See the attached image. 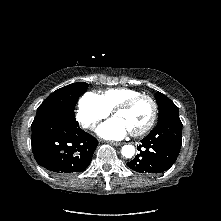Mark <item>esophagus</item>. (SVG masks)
I'll return each instance as SVG.
<instances>
[{
  "mask_svg": "<svg viewBox=\"0 0 221 221\" xmlns=\"http://www.w3.org/2000/svg\"><path fill=\"white\" fill-rule=\"evenodd\" d=\"M109 144H111L113 146H121L122 145L121 142H115V141H110Z\"/></svg>",
  "mask_w": 221,
  "mask_h": 221,
  "instance_id": "obj_1",
  "label": "esophagus"
}]
</instances>
